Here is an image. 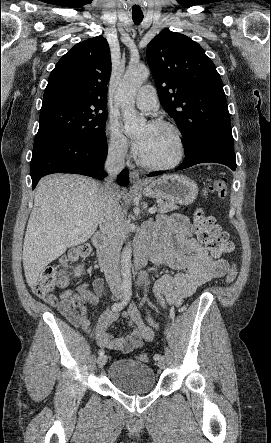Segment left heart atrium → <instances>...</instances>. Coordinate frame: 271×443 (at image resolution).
I'll list each match as a JSON object with an SVG mask.
<instances>
[{
    "instance_id": "39dd6f15",
    "label": "left heart atrium",
    "mask_w": 271,
    "mask_h": 443,
    "mask_svg": "<svg viewBox=\"0 0 271 443\" xmlns=\"http://www.w3.org/2000/svg\"><path fill=\"white\" fill-rule=\"evenodd\" d=\"M146 138H147V135H146V133H143V134H141L139 137H137L135 140H134V143H133V145H134V148H135V150L138 152V153H142V151L144 150V148H145V145H146Z\"/></svg>"
}]
</instances>
